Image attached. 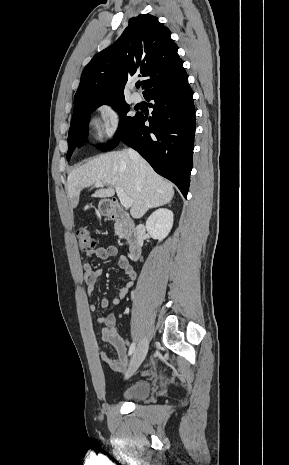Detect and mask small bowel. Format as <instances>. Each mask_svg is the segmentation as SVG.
I'll return each mask as SVG.
<instances>
[{
	"label": "small bowel",
	"instance_id": "1",
	"mask_svg": "<svg viewBox=\"0 0 289 465\" xmlns=\"http://www.w3.org/2000/svg\"><path fill=\"white\" fill-rule=\"evenodd\" d=\"M89 261L83 264V280L86 284V289L89 295H91L95 288L99 277L102 276V269H93L91 259L97 258L100 260H107L109 258H118V267L123 271L125 276L124 285L118 289L116 296L112 299L104 298L101 301L102 308H108L110 305L117 306L120 301L126 297L129 289L133 285L136 278L135 271L130 266L127 258L120 255L118 249L115 246L108 247H97L87 252ZM91 311H96V305L91 302L89 305ZM96 321L98 324L103 325L102 328V342L104 344L111 345L115 351L117 358L112 359L109 357L105 349H101L99 352L100 358L105 362L113 371L123 372L129 364V358L127 353L128 343L119 335L116 326V316L113 312H109L105 315H97Z\"/></svg>",
	"mask_w": 289,
	"mask_h": 465
}]
</instances>
